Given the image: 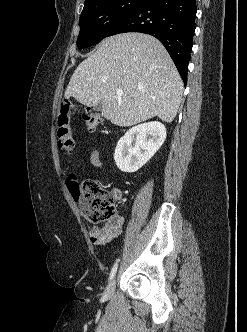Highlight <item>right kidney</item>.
<instances>
[{
    "label": "right kidney",
    "mask_w": 247,
    "mask_h": 332,
    "mask_svg": "<svg viewBox=\"0 0 247 332\" xmlns=\"http://www.w3.org/2000/svg\"><path fill=\"white\" fill-rule=\"evenodd\" d=\"M166 138L165 126L152 121L129 129L118 141L114 160L123 172H136L159 150Z\"/></svg>",
    "instance_id": "ca27d5eb"
}]
</instances>
